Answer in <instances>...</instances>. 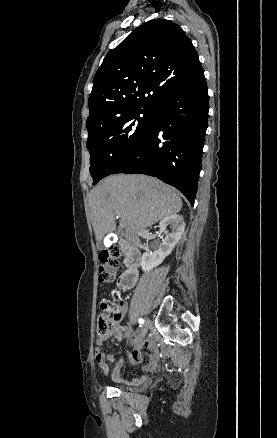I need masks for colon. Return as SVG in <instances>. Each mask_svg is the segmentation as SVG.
Instances as JSON below:
<instances>
[{"mask_svg": "<svg viewBox=\"0 0 277 438\" xmlns=\"http://www.w3.org/2000/svg\"><path fill=\"white\" fill-rule=\"evenodd\" d=\"M126 253L130 256L133 252L129 249ZM121 254L122 250L116 245L109 247L105 252L101 253L99 256L101 263L97 266V279L99 284H111L115 281V268L118 265ZM102 310L103 312L100 318L94 319V330L99 332L96 335L98 338L101 335L114 334L115 328H118L120 325L118 320L120 318L118 305L109 302L103 305Z\"/></svg>", "mask_w": 277, "mask_h": 438, "instance_id": "colon-1", "label": "colon"}]
</instances>
